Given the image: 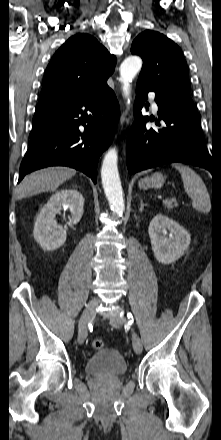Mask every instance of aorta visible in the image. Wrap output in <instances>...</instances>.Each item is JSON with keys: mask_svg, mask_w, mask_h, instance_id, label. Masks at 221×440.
Segmentation results:
<instances>
[{"mask_svg": "<svg viewBox=\"0 0 221 440\" xmlns=\"http://www.w3.org/2000/svg\"><path fill=\"white\" fill-rule=\"evenodd\" d=\"M142 67V60L139 56H129L120 65V82L125 98L129 100L131 82ZM117 149L111 148L105 154L101 167V179L104 192L109 205L114 213L121 216L125 209L123 190L118 173Z\"/></svg>", "mask_w": 221, "mask_h": 440, "instance_id": "762f6f07", "label": "aorta"}]
</instances>
